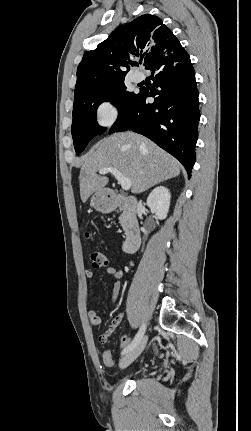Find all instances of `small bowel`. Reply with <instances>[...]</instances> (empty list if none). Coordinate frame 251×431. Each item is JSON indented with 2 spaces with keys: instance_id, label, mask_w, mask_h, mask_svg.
I'll return each mask as SVG.
<instances>
[{
  "instance_id": "c3829d8e",
  "label": "small bowel",
  "mask_w": 251,
  "mask_h": 431,
  "mask_svg": "<svg viewBox=\"0 0 251 431\" xmlns=\"http://www.w3.org/2000/svg\"><path fill=\"white\" fill-rule=\"evenodd\" d=\"M106 273L110 276H112L115 279V282L113 284L110 302L114 303L119 295L120 292V286H121V279L123 278V271L117 267L114 266H108L106 268ZM85 276L89 279L93 278L94 272L91 269H86L84 272ZM88 318L92 326L98 327L100 326L102 319L98 312L96 310H89L88 311ZM124 318V313L120 312L118 313L110 322L107 329L98 337V340L101 344H107L112 336V334L115 332V330L118 328L120 323L122 322ZM130 345V344H129ZM108 351V350H106Z\"/></svg>"
}]
</instances>
